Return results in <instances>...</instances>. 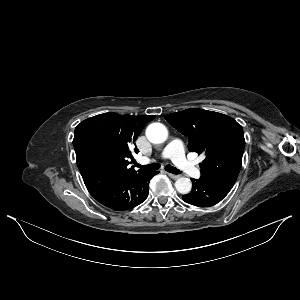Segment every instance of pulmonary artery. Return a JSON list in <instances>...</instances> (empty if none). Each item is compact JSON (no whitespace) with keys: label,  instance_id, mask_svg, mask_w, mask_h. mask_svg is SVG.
Masks as SVG:
<instances>
[{"label":"pulmonary artery","instance_id":"pulmonary-artery-1","mask_svg":"<svg viewBox=\"0 0 300 300\" xmlns=\"http://www.w3.org/2000/svg\"><path fill=\"white\" fill-rule=\"evenodd\" d=\"M163 156L171 159L174 164L191 177H198L200 172L194 163L187 160L184 154V145L180 140H172L165 147ZM142 164L150 162L147 158H141Z\"/></svg>","mask_w":300,"mask_h":300}]
</instances>
